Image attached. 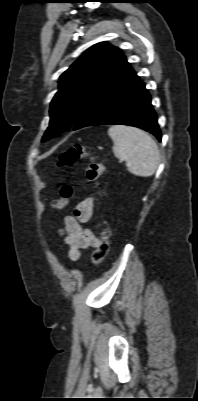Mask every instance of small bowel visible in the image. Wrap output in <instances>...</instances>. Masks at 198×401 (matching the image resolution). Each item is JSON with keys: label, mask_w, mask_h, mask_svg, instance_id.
Returning a JSON list of instances; mask_svg holds the SVG:
<instances>
[{"label": "small bowel", "mask_w": 198, "mask_h": 401, "mask_svg": "<svg viewBox=\"0 0 198 401\" xmlns=\"http://www.w3.org/2000/svg\"><path fill=\"white\" fill-rule=\"evenodd\" d=\"M93 214V200L87 198L79 202L73 213L64 218V225L60 229V235L69 246L68 256L70 260L77 261L82 249L97 247L99 238L95 232L84 227Z\"/></svg>", "instance_id": "1"}]
</instances>
